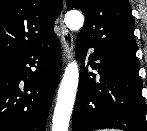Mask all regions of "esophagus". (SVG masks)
Here are the masks:
<instances>
[{"label":"esophagus","mask_w":147,"mask_h":131,"mask_svg":"<svg viewBox=\"0 0 147 131\" xmlns=\"http://www.w3.org/2000/svg\"><path fill=\"white\" fill-rule=\"evenodd\" d=\"M59 24L62 31L61 44L63 48V58L64 62H67L73 57V37L64 24L62 13L59 17Z\"/></svg>","instance_id":"1"}]
</instances>
